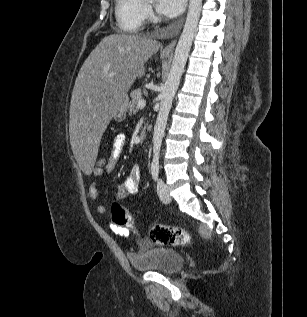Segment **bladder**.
<instances>
[{"instance_id":"31cf9c89","label":"bladder","mask_w":307,"mask_h":317,"mask_svg":"<svg viewBox=\"0 0 307 317\" xmlns=\"http://www.w3.org/2000/svg\"><path fill=\"white\" fill-rule=\"evenodd\" d=\"M128 259L135 271L174 274L184 265L180 252L165 247L149 249L139 256L129 255Z\"/></svg>"}]
</instances>
